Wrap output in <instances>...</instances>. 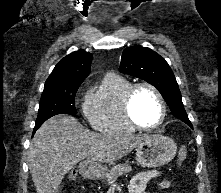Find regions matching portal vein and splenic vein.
I'll list each match as a JSON object with an SVG mask.
<instances>
[{
  "label": "portal vein and splenic vein",
  "instance_id": "1",
  "mask_svg": "<svg viewBox=\"0 0 221 193\" xmlns=\"http://www.w3.org/2000/svg\"><path fill=\"white\" fill-rule=\"evenodd\" d=\"M91 150H92V151H94L95 149H94V148H92Z\"/></svg>",
  "mask_w": 221,
  "mask_h": 193
}]
</instances>
